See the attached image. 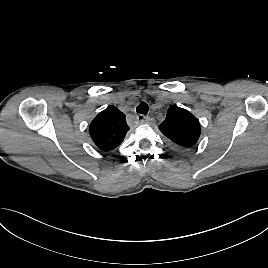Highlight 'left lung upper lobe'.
Masks as SVG:
<instances>
[{"mask_svg": "<svg viewBox=\"0 0 268 268\" xmlns=\"http://www.w3.org/2000/svg\"><path fill=\"white\" fill-rule=\"evenodd\" d=\"M158 129L175 145L182 148L195 146L201 133L200 123L196 117L176 105L169 107L166 119Z\"/></svg>", "mask_w": 268, "mask_h": 268, "instance_id": "obj_1", "label": "left lung upper lobe"}]
</instances>
